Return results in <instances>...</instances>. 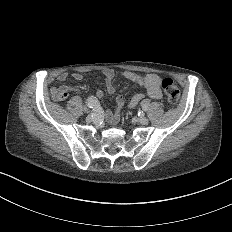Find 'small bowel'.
Instances as JSON below:
<instances>
[{
	"mask_svg": "<svg viewBox=\"0 0 232 232\" xmlns=\"http://www.w3.org/2000/svg\"><path fill=\"white\" fill-rule=\"evenodd\" d=\"M99 74L105 78L108 82V91L110 94L116 92V88L114 85L111 84V81L115 78V71L113 69H101ZM124 75L133 77L138 83L145 87L146 94L156 100L162 99V93L159 89V86L162 83V78L157 73H140L137 71H125ZM58 79L60 81H65L67 79L73 80H80L81 75L79 73H62L59 75ZM49 93L57 94V93H69V92H76L78 88L75 86H51L48 89ZM96 96L98 98L103 97V91L101 89H96ZM143 99L142 93H136L132 96L129 102V108H135L139 102ZM125 101V94L123 92H119L117 95V102L119 108L124 105ZM107 117L110 122L117 121L119 117V110L113 111L111 108L107 110Z\"/></svg>",
	"mask_w": 232,
	"mask_h": 232,
	"instance_id": "1",
	"label": "small bowel"
}]
</instances>
